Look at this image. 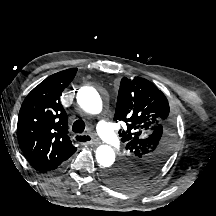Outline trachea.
<instances>
[{
	"label": "trachea",
	"mask_w": 216,
	"mask_h": 216,
	"mask_svg": "<svg viewBox=\"0 0 216 216\" xmlns=\"http://www.w3.org/2000/svg\"><path fill=\"white\" fill-rule=\"evenodd\" d=\"M85 130V122L83 120H76L72 125V131L75 133H83ZM79 141H86V136H82L78 138Z\"/></svg>",
	"instance_id": "3493384b"
}]
</instances>
